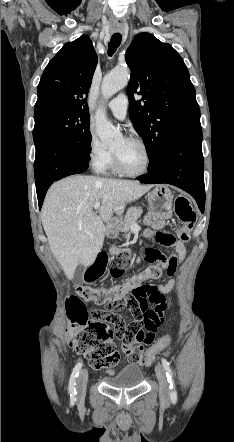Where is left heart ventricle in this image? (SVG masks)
<instances>
[{"mask_svg": "<svg viewBox=\"0 0 234 442\" xmlns=\"http://www.w3.org/2000/svg\"><path fill=\"white\" fill-rule=\"evenodd\" d=\"M112 150L117 153L123 168L127 171L137 172L143 169L145 153L139 144L121 138L115 143Z\"/></svg>", "mask_w": 234, "mask_h": 442, "instance_id": "b2bd125f", "label": "left heart ventricle"}]
</instances>
